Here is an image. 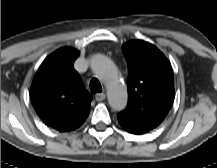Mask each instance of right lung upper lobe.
<instances>
[{"label":"right lung upper lobe","mask_w":217,"mask_h":168,"mask_svg":"<svg viewBox=\"0 0 217 168\" xmlns=\"http://www.w3.org/2000/svg\"><path fill=\"white\" fill-rule=\"evenodd\" d=\"M79 54L74 48L64 47L49 55L39 67L30 89L37 115L60 132L77 129L90 112L92 96L73 68Z\"/></svg>","instance_id":"1"}]
</instances>
